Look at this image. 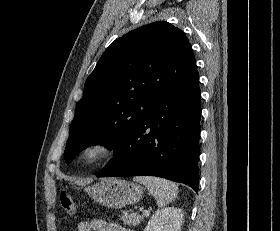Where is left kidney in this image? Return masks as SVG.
Here are the masks:
<instances>
[{"label": "left kidney", "mask_w": 280, "mask_h": 231, "mask_svg": "<svg viewBox=\"0 0 280 231\" xmlns=\"http://www.w3.org/2000/svg\"><path fill=\"white\" fill-rule=\"evenodd\" d=\"M183 211L180 207L157 209L148 221L144 231H180Z\"/></svg>", "instance_id": "5707ae66"}]
</instances>
